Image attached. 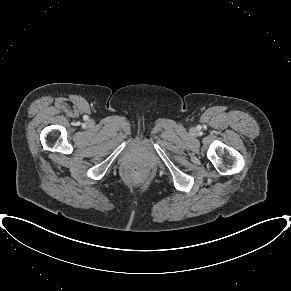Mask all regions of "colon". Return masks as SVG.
Returning a JSON list of instances; mask_svg holds the SVG:
<instances>
[{
	"mask_svg": "<svg viewBox=\"0 0 291 291\" xmlns=\"http://www.w3.org/2000/svg\"><path fill=\"white\" fill-rule=\"evenodd\" d=\"M132 172H133V173H137V172H138V169H137V168H133V169H132Z\"/></svg>",
	"mask_w": 291,
	"mask_h": 291,
	"instance_id": "1",
	"label": "colon"
}]
</instances>
